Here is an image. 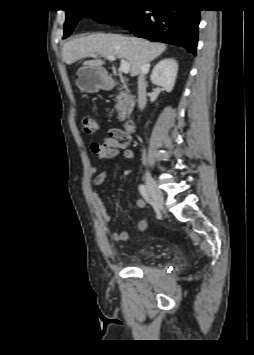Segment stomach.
<instances>
[{"label": "stomach", "instance_id": "stomach-1", "mask_svg": "<svg viewBox=\"0 0 254 355\" xmlns=\"http://www.w3.org/2000/svg\"><path fill=\"white\" fill-rule=\"evenodd\" d=\"M76 85L84 92L96 93L110 88L112 81L104 68L84 65L76 72Z\"/></svg>", "mask_w": 254, "mask_h": 355}]
</instances>
